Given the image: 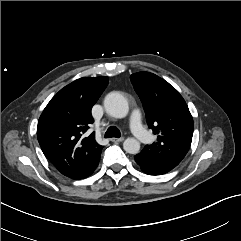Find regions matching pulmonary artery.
Returning a JSON list of instances; mask_svg holds the SVG:
<instances>
[{
    "instance_id": "pulmonary-artery-1",
    "label": "pulmonary artery",
    "mask_w": 241,
    "mask_h": 241,
    "mask_svg": "<svg viewBox=\"0 0 241 241\" xmlns=\"http://www.w3.org/2000/svg\"><path fill=\"white\" fill-rule=\"evenodd\" d=\"M130 128L134 137L141 143L146 144L150 141V134L148 131L143 127L141 123V115L139 111H133L130 117Z\"/></svg>"
}]
</instances>
